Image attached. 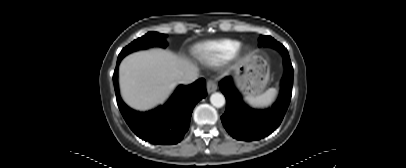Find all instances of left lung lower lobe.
<instances>
[{"label": "left lung lower lobe", "mask_w": 406, "mask_h": 168, "mask_svg": "<svg viewBox=\"0 0 406 168\" xmlns=\"http://www.w3.org/2000/svg\"><path fill=\"white\" fill-rule=\"evenodd\" d=\"M285 73L281 80V91L278 100L266 110L249 108L235 88L232 77H225L220 83V90L226 97L227 106L221 121L227 132L237 140H259L271 134L281 123L289 106L293 68L288 51L282 52Z\"/></svg>", "instance_id": "0a47b994"}]
</instances>
